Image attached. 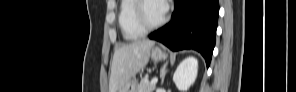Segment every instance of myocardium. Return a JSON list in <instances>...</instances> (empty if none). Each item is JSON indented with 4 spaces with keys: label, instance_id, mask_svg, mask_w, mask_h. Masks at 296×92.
Wrapping results in <instances>:
<instances>
[{
    "label": "myocardium",
    "instance_id": "obj_1",
    "mask_svg": "<svg viewBox=\"0 0 296 92\" xmlns=\"http://www.w3.org/2000/svg\"><path fill=\"white\" fill-rule=\"evenodd\" d=\"M148 1L147 0H139L136 2L135 10H134V19L136 24L143 30V31H152L159 27H161L166 22V14L163 15L161 20L154 24H150L146 21L144 15L145 5Z\"/></svg>",
    "mask_w": 296,
    "mask_h": 92
}]
</instances>
